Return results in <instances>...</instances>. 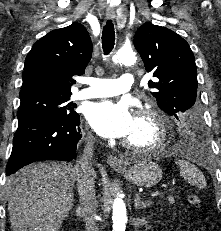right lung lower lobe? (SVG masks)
<instances>
[{
    "label": "right lung lower lobe",
    "instance_id": "obj_1",
    "mask_svg": "<svg viewBox=\"0 0 221 231\" xmlns=\"http://www.w3.org/2000/svg\"><path fill=\"white\" fill-rule=\"evenodd\" d=\"M79 115L67 118L39 113L19 120L6 175L41 160L71 161L82 137Z\"/></svg>",
    "mask_w": 221,
    "mask_h": 231
}]
</instances>
